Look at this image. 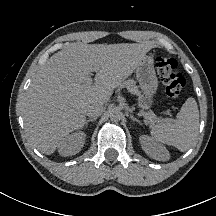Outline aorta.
I'll list each match as a JSON object with an SVG mask.
<instances>
[{"label":"aorta","instance_id":"762f6f07","mask_svg":"<svg viewBox=\"0 0 216 216\" xmlns=\"http://www.w3.org/2000/svg\"><path fill=\"white\" fill-rule=\"evenodd\" d=\"M122 116H123V114H122L121 110L118 108H113L109 113L110 119L114 122L120 121L122 119Z\"/></svg>","mask_w":216,"mask_h":216}]
</instances>
